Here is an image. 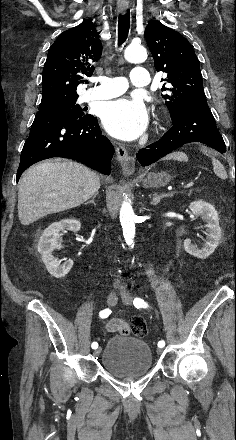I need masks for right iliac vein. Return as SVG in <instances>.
I'll use <instances>...</instances> for the list:
<instances>
[{
    "mask_svg": "<svg viewBox=\"0 0 236 440\" xmlns=\"http://www.w3.org/2000/svg\"><path fill=\"white\" fill-rule=\"evenodd\" d=\"M118 298L117 295L115 293H110L107 297V304L110 307H113L117 304ZM101 348H98L94 351V355L97 356L100 354Z\"/></svg>",
    "mask_w": 236,
    "mask_h": 440,
    "instance_id": "right-iliac-vein-1",
    "label": "right iliac vein"
}]
</instances>
